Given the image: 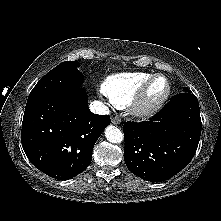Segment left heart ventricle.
I'll return each mask as SVG.
<instances>
[{"label": "left heart ventricle", "mask_w": 221, "mask_h": 221, "mask_svg": "<svg viewBox=\"0 0 221 221\" xmlns=\"http://www.w3.org/2000/svg\"><path fill=\"white\" fill-rule=\"evenodd\" d=\"M167 89V83L163 78H158L152 84L148 93V102L154 103L159 100Z\"/></svg>", "instance_id": "b2bd125f"}]
</instances>
